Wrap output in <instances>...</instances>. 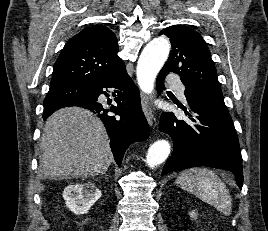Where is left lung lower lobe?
Listing matches in <instances>:
<instances>
[{
	"instance_id": "obj_1",
	"label": "left lung lower lobe",
	"mask_w": 268,
	"mask_h": 231,
	"mask_svg": "<svg viewBox=\"0 0 268 231\" xmlns=\"http://www.w3.org/2000/svg\"><path fill=\"white\" fill-rule=\"evenodd\" d=\"M166 73L160 71L157 89H164ZM188 120L177 119L172 112L161 115L159 129L169 134L174 143L171 157L164 165L162 175L196 166L229 170L243 185L242 157L238 137L230 117L209 104L185 92Z\"/></svg>"
}]
</instances>
